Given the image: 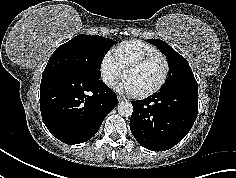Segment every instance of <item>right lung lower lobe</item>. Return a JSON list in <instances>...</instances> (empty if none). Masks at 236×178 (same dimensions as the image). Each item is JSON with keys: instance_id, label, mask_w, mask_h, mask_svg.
Wrapping results in <instances>:
<instances>
[{"instance_id": "98d812e1", "label": "right lung lower lobe", "mask_w": 236, "mask_h": 178, "mask_svg": "<svg viewBox=\"0 0 236 178\" xmlns=\"http://www.w3.org/2000/svg\"><path fill=\"white\" fill-rule=\"evenodd\" d=\"M117 104L116 94L100 79L62 72L42 75L43 122L53 136L66 144L91 139Z\"/></svg>"}]
</instances>
